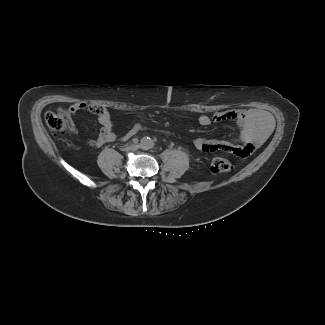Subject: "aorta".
<instances>
[{"label": "aorta", "mask_w": 325, "mask_h": 325, "mask_svg": "<svg viewBox=\"0 0 325 325\" xmlns=\"http://www.w3.org/2000/svg\"><path fill=\"white\" fill-rule=\"evenodd\" d=\"M140 145H141V148H142V149L147 150V149H150V148L153 147L154 142H153V140H152L151 138H149V137H143V138L141 139Z\"/></svg>", "instance_id": "aorta-1"}]
</instances>
